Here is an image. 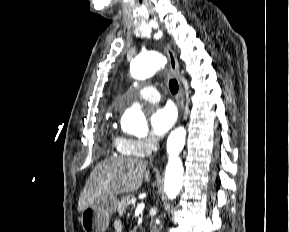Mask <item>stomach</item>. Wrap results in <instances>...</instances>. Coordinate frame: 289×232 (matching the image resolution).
Wrapping results in <instances>:
<instances>
[{
    "label": "stomach",
    "mask_w": 289,
    "mask_h": 232,
    "mask_svg": "<svg viewBox=\"0 0 289 232\" xmlns=\"http://www.w3.org/2000/svg\"><path fill=\"white\" fill-rule=\"evenodd\" d=\"M118 204L116 197L87 207L79 218L84 232H105Z\"/></svg>",
    "instance_id": "obj_1"
}]
</instances>
